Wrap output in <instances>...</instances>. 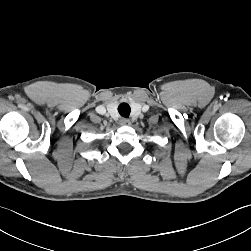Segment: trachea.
<instances>
[{"instance_id": "obj_1", "label": "trachea", "mask_w": 251, "mask_h": 251, "mask_svg": "<svg viewBox=\"0 0 251 251\" xmlns=\"http://www.w3.org/2000/svg\"><path fill=\"white\" fill-rule=\"evenodd\" d=\"M131 108L127 103H121L118 106V112L121 116L128 118L130 115Z\"/></svg>"}]
</instances>
